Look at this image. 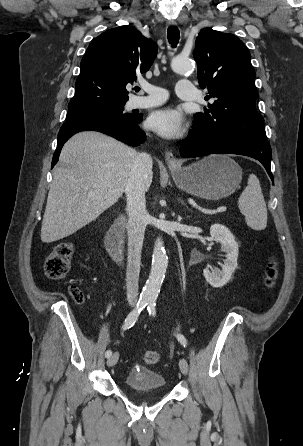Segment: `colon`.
Instances as JSON below:
<instances>
[{
    "mask_svg": "<svg viewBox=\"0 0 303 446\" xmlns=\"http://www.w3.org/2000/svg\"><path fill=\"white\" fill-rule=\"evenodd\" d=\"M74 247L69 242L58 244L53 251L47 255L44 262V271L48 278L59 280L64 278L69 272ZM278 277L277 262L271 259L265 269L264 284L267 288H272ZM69 293L76 303L84 301V294L77 286H71ZM159 353L154 350H147L142 354V360L146 364H156L159 361Z\"/></svg>",
    "mask_w": 303,
    "mask_h": 446,
    "instance_id": "1",
    "label": "colon"
}]
</instances>
